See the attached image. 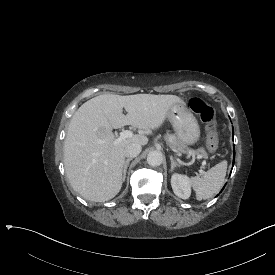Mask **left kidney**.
Segmentation results:
<instances>
[{"label": "left kidney", "mask_w": 275, "mask_h": 275, "mask_svg": "<svg viewBox=\"0 0 275 275\" xmlns=\"http://www.w3.org/2000/svg\"><path fill=\"white\" fill-rule=\"evenodd\" d=\"M172 189L178 197L188 199L191 195L189 178L181 174H173L171 177Z\"/></svg>", "instance_id": "1"}]
</instances>
